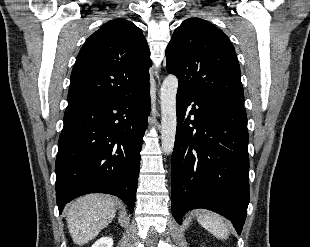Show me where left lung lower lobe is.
<instances>
[{
  "label": "left lung lower lobe",
  "mask_w": 310,
  "mask_h": 247,
  "mask_svg": "<svg viewBox=\"0 0 310 247\" xmlns=\"http://www.w3.org/2000/svg\"><path fill=\"white\" fill-rule=\"evenodd\" d=\"M191 102L192 110L188 112ZM172 155V213L181 224L195 208L215 211L243 228L249 203L245 109L179 89ZM194 115V119H190Z\"/></svg>",
  "instance_id": "left-lung-lower-lobe-1"
}]
</instances>
